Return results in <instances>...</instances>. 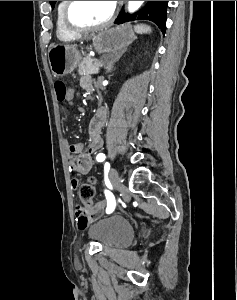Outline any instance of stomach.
Returning <instances> with one entry per match:
<instances>
[{
  "label": "stomach",
  "mask_w": 237,
  "mask_h": 300,
  "mask_svg": "<svg viewBox=\"0 0 237 300\" xmlns=\"http://www.w3.org/2000/svg\"><path fill=\"white\" fill-rule=\"evenodd\" d=\"M97 53H115L133 43L135 33L131 25H120L112 29H100L90 35ZM82 55L73 45H54L48 51V61L53 75H69L80 63Z\"/></svg>",
  "instance_id": "0dacf381"
}]
</instances>
